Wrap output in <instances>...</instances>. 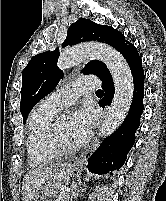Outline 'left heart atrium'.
Wrapping results in <instances>:
<instances>
[{"label":"left heart atrium","mask_w":166,"mask_h":201,"mask_svg":"<svg viewBox=\"0 0 166 201\" xmlns=\"http://www.w3.org/2000/svg\"><path fill=\"white\" fill-rule=\"evenodd\" d=\"M94 124V116L91 108L83 106L72 112L68 131L76 146L83 145L89 138Z\"/></svg>","instance_id":"obj_1"}]
</instances>
